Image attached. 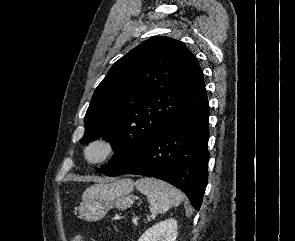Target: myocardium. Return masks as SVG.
I'll list each match as a JSON object with an SVG mask.
<instances>
[{
  "label": "myocardium",
  "instance_id": "f54148a6",
  "mask_svg": "<svg viewBox=\"0 0 295 241\" xmlns=\"http://www.w3.org/2000/svg\"><path fill=\"white\" fill-rule=\"evenodd\" d=\"M100 149V154L96 157L93 151ZM119 147L115 140L108 136H98L89 141L83 149V158L89 165H100L112 160L118 153Z\"/></svg>",
  "mask_w": 295,
  "mask_h": 241
}]
</instances>
